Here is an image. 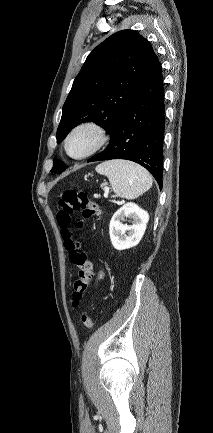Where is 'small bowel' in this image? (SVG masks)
<instances>
[{
  "label": "small bowel",
  "mask_w": 213,
  "mask_h": 433,
  "mask_svg": "<svg viewBox=\"0 0 213 433\" xmlns=\"http://www.w3.org/2000/svg\"><path fill=\"white\" fill-rule=\"evenodd\" d=\"M105 274L103 271H100L97 275V281H101L104 278Z\"/></svg>",
  "instance_id": "c3829d8e"
}]
</instances>
